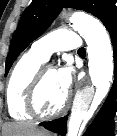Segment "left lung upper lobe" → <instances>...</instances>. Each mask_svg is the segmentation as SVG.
<instances>
[{
    "instance_id": "1",
    "label": "left lung upper lobe",
    "mask_w": 117,
    "mask_h": 136,
    "mask_svg": "<svg viewBox=\"0 0 117 136\" xmlns=\"http://www.w3.org/2000/svg\"><path fill=\"white\" fill-rule=\"evenodd\" d=\"M116 0H32L23 12L12 37L6 60L7 75L17 56L53 22L63 7L84 10L105 25L117 14Z\"/></svg>"
}]
</instances>
